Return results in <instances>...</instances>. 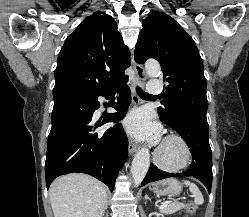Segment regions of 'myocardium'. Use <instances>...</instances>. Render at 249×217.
Here are the masks:
<instances>
[{
  "mask_svg": "<svg viewBox=\"0 0 249 217\" xmlns=\"http://www.w3.org/2000/svg\"><path fill=\"white\" fill-rule=\"evenodd\" d=\"M173 144L179 149V156L174 161H168L163 156L164 147ZM191 159V150L186 140L178 134H170L165 137L160 147L154 153L155 163L163 170L176 172L185 168Z\"/></svg>",
  "mask_w": 249,
  "mask_h": 217,
  "instance_id": "1",
  "label": "myocardium"
}]
</instances>
